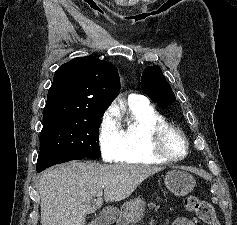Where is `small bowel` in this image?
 I'll return each instance as SVG.
<instances>
[{
  "mask_svg": "<svg viewBox=\"0 0 237 225\" xmlns=\"http://www.w3.org/2000/svg\"><path fill=\"white\" fill-rule=\"evenodd\" d=\"M172 225H196V222L186 217H178Z\"/></svg>",
  "mask_w": 237,
  "mask_h": 225,
  "instance_id": "small-bowel-1",
  "label": "small bowel"
}]
</instances>
